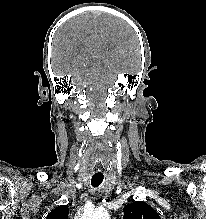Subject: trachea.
I'll return each mask as SVG.
<instances>
[{
    "label": "trachea",
    "instance_id": "trachea-1",
    "mask_svg": "<svg viewBox=\"0 0 206 219\" xmlns=\"http://www.w3.org/2000/svg\"><path fill=\"white\" fill-rule=\"evenodd\" d=\"M104 176L102 174H95L92 176L91 185L93 187H98L103 182Z\"/></svg>",
    "mask_w": 206,
    "mask_h": 219
}]
</instances>
